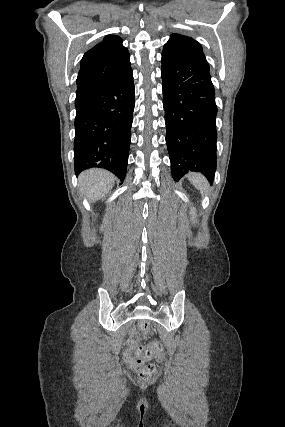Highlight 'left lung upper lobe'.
Here are the masks:
<instances>
[{
    "mask_svg": "<svg viewBox=\"0 0 285 427\" xmlns=\"http://www.w3.org/2000/svg\"><path fill=\"white\" fill-rule=\"evenodd\" d=\"M162 55L189 58L208 65L200 43L191 37L179 34L171 35L169 41L164 45Z\"/></svg>",
    "mask_w": 285,
    "mask_h": 427,
    "instance_id": "5c2ea615",
    "label": "left lung upper lobe"
}]
</instances>
